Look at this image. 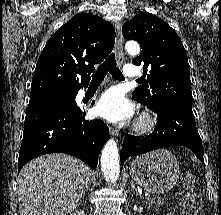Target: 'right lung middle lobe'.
<instances>
[{"label":"right lung middle lobe","mask_w":221,"mask_h":215,"mask_svg":"<svg viewBox=\"0 0 221 215\" xmlns=\"http://www.w3.org/2000/svg\"><path fill=\"white\" fill-rule=\"evenodd\" d=\"M72 95L73 94L53 95L42 99L30 101L28 105V110L38 107H44L56 104H67L73 102L74 98L72 97Z\"/></svg>","instance_id":"dd1d6c3e"}]
</instances>
